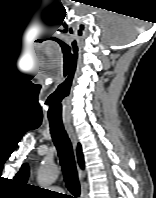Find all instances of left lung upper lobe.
<instances>
[{
    "mask_svg": "<svg viewBox=\"0 0 156 198\" xmlns=\"http://www.w3.org/2000/svg\"><path fill=\"white\" fill-rule=\"evenodd\" d=\"M29 175V168L27 164L22 165L20 171L16 174L15 180L26 183Z\"/></svg>",
    "mask_w": 156,
    "mask_h": 198,
    "instance_id": "5c2ea615",
    "label": "left lung upper lobe"
}]
</instances>
